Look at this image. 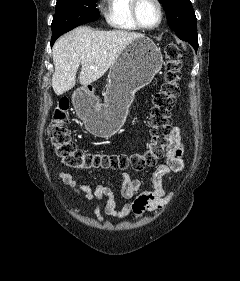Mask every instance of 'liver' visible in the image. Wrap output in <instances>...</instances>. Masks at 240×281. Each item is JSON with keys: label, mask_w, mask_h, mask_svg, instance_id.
Segmentation results:
<instances>
[{"label": "liver", "mask_w": 240, "mask_h": 281, "mask_svg": "<svg viewBox=\"0 0 240 281\" xmlns=\"http://www.w3.org/2000/svg\"><path fill=\"white\" fill-rule=\"evenodd\" d=\"M141 36L143 35L136 32L100 31L86 26L64 34L55 42L52 51L55 67L52 76L54 92L62 95L75 86L80 65L81 85L97 81L115 63L126 46Z\"/></svg>", "instance_id": "1"}]
</instances>
